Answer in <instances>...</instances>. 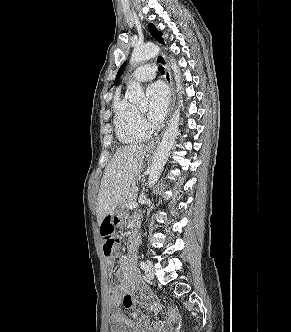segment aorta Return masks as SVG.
<instances>
[{
	"mask_svg": "<svg viewBox=\"0 0 291 332\" xmlns=\"http://www.w3.org/2000/svg\"><path fill=\"white\" fill-rule=\"evenodd\" d=\"M159 51H160L159 47L154 44H145L142 46H138L134 48L131 54L130 62L134 64L142 63L146 60L154 58L159 53ZM170 62H171V69L173 70L177 86V92L178 95L181 96L182 85H181L180 70L174 59L171 58ZM129 100L134 104H145L148 102V98L145 96V93L139 83L131 84ZM179 121H180V109L176 108L155 153L148 177L149 187L155 185V183L158 181L162 173V170L169 156V152L173 146V143L178 133Z\"/></svg>",
	"mask_w": 291,
	"mask_h": 332,
	"instance_id": "obj_1",
	"label": "aorta"
}]
</instances>
